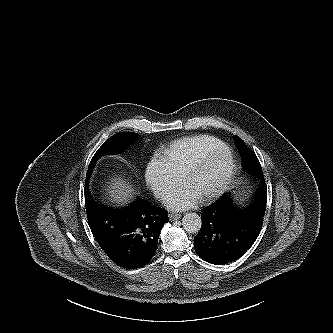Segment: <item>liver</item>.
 Returning a JSON list of instances; mask_svg holds the SVG:
<instances>
[{"instance_id":"6515ba94","label":"liver","mask_w":333,"mask_h":333,"mask_svg":"<svg viewBox=\"0 0 333 333\" xmlns=\"http://www.w3.org/2000/svg\"><path fill=\"white\" fill-rule=\"evenodd\" d=\"M107 193L112 202L121 204L126 203L133 198L135 190L129 182L118 177L111 179L107 188Z\"/></svg>"}]
</instances>
